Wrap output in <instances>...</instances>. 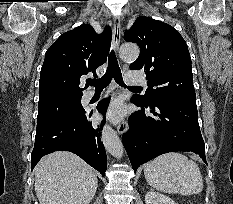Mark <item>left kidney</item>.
Instances as JSON below:
<instances>
[{
  "label": "left kidney",
  "instance_id": "5707ae66",
  "mask_svg": "<svg viewBox=\"0 0 233 204\" xmlns=\"http://www.w3.org/2000/svg\"><path fill=\"white\" fill-rule=\"evenodd\" d=\"M145 203L146 204H178L175 201H173L170 197L155 192V191H149L145 195Z\"/></svg>",
  "mask_w": 233,
  "mask_h": 204
}]
</instances>
